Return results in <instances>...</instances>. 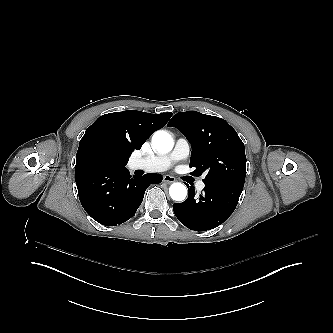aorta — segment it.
<instances>
[{
	"label": "aorta",
	"instance_id": "762f6f07",
	"mask_svg": "<svg viewBox=\"0 0 333 333\" xmlns=\"http://www.w3.org/2000/svg\"><path fill=\"white\" fill-rule=\"evenodd\" d=\"M171 135L164 130H157L152 136V146L159 153H168L173 148ZM169 195L176 201H183L187 195L186 186L179 182H174L169 187Z\"/></svg>",
	"mask_w": 333,
	"mask_h": 333
}]
</instances>
